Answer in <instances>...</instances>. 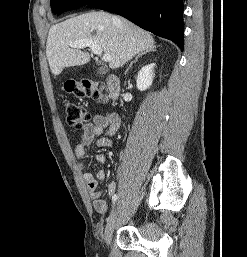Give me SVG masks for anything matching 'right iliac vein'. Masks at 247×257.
<instances>
[{"label":"right iliac vein","mask_w":247,"mask_h":257,"mask_svg":"<svg viewBox=\"0 0 247 257\" xmlns=\"http://www.w3.org/2000/svg\"><path fill=\"white\" fill-rule=\"evenodd\" d=\"M118 210H119V206H117L115 212L112 214V216L106 226L105 233H104V240H105L106 245H109L111 242L112 234H113L115 224H116V219L118 216Z\"/></svg>","instance_id":"right-iliac-vein-1"}]
</instances>
